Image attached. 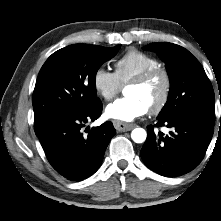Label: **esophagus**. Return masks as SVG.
<instances>
[{
	"mask_svg": "<svg viewBox=\"0 0 221 221\" xmlns=\"http://www.w3.org/2000/svg\"><path fill=\"white\" fill-rule=\"evenodd\" d=\"M113 124L116 130L119 132L129 131L135 127L134 124L124 123V122L117 121V120L113 121Z\"/></svg>",
	"mask_w": 221,
	"mask_h": 221,
	"instance_id": "obj_1",
	"label": "esophagus"
}]
</instances>
